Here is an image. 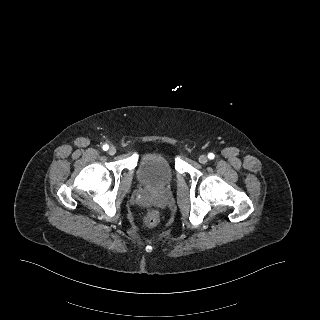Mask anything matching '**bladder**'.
Returning <instances> with one entry per match:
<instances>
[{
    "mask_svg": "<svg viewBox=\"0 0 320 320\" xmlns=\"http://www.w3.org/2000/svg\"><path fill=\"white\" fill-rule=\"evenodd\" d=\"M173 174L169 160L159 153L145 154L137 171L138 179L143 185L155 188L169 185L173 180Z\"/></svg>",
    "mask_w": 320,
    "mask_h": 320,
    "instance_id": "obj_1",
    "label": "bladder"
}]
</instances>
